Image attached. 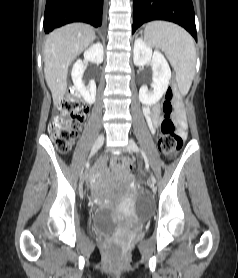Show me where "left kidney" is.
Here are the masks:
<instances>
[{
	"label": "left kidney",
	"mask_w": 238,
	"mask_h": 278,
	"mask_svg": "<svg viewBox=\"0 0 238 278\" xmlns=\"http://www.w3.org/2000/svg\"><path fill=\"white\" fill-rule=\"evenodd\" d=\"M134 64L136 66H144L151 64L152 66V91L147 86H142L139 90V100L144 105L156 104L163 94L167 91L169 80L171 78V70L165 57L159 51L152 49L140 38L134 43Z\"/></svg>",
	"instance_id": "1"
}]
</instances>
